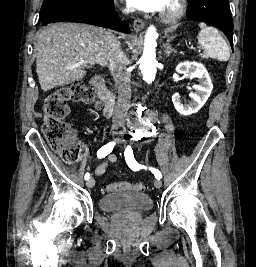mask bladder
Instances as JSON below:
<instances>
[{
  "instance_id": "bladder-1",
  "label": "bladder",
  "mask_w": 256,
  "mask_h": 267,
  "mask_svg": "<svg viewBox=\"0 0 256 267\" xmlns=\"http://www.w3.org/2000/svg\"><path fill=\"white\" fill-rule=\"evenodd\" d=\"M103 211H145L152 207L149 195H111L106 194L99 199Z\"/></svg>"
}]
</instances>
